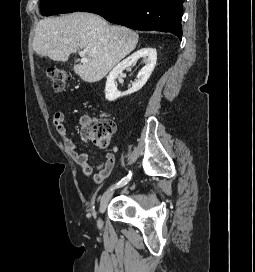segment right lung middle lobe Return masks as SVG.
<instances>
[{
    "label": "right lung middle lobe",
    "mask_w": 255,
    "mask_h": 272,
    "mask_svg": "<svg viewBox=\"0 0 255 272\" xmlns=\"http://www.w3.org/2000/svg\"><path fill=\"white\" fill-rule=\"evenodd\" d=\"M93 0H41V13L45 16L76 12Z\"/></svg>",
    "instance_id": "right-lung-middle-lobe-1"
}]
</instances>
